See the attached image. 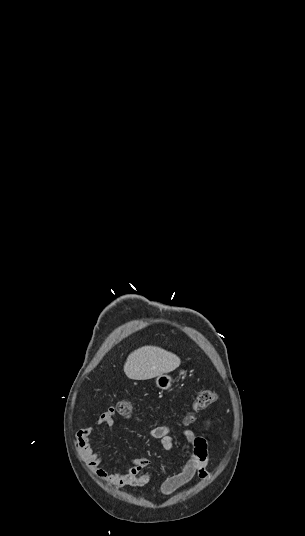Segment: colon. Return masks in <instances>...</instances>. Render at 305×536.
Here are the masks:
<instances>
[{"label": "colon", "mask_w": 305, "mask_h": 536, "mask_svg": "<svg viewBox=\"0 0 305 536\" xmlns=\"http://www.w3.org/2000/svg\"><path fill=\"white\" fill-rule=\"evenodd\" d=\"M217 399V393L214 390H202L198 392L195 397L194 403L189 410V415L194 418L200 412L208 409V407L214 403ZM116 412L115 415L123 416L133 411V405L128 400H119L113 404Z\"/></svg>", "instance_id": "colon-1"}]
</instances>
